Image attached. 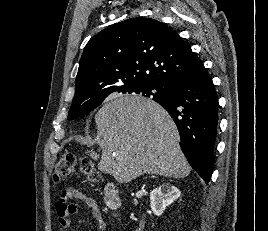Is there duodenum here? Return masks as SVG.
Listing matches in <instances>:
<instances>
[{"label":"duodenum","mask_w":268,"mask_h":231,"mask_svg":"<svg viewBox=\"0 0 268 231\" xmlns=\"http://www.w3.org/2000/svg\"><path fill=\"white\" fill-rule=\"evenodd\" d=\"M105 202L108 208L116 210L120 206V197L108 187L105 191Z\"/></svg>","instance_id":"410a0bca"}]
</instances>
